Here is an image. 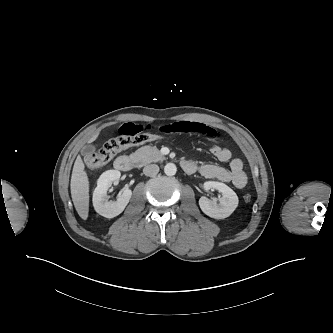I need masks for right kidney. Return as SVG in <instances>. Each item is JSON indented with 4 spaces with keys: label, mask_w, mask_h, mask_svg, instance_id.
Listing matches in <instances>:
<instances>
[{
    "label": "right kidney",
    "mask_w": 333,
    "mask_h": 333,
    "mask_svg": "<svg viewBox=\"0 0 333 333\" xmlns=\"http://www.w3.org/2000/svg\"><path fill=\"white\" fill-rule=\"evenodd\" d=\"M120 176L121 173L117 170H108L102 173L97 181V187L93 192V206L95 211L109 219L122 213L132 196V191L124 188L116 201L109 200L107 190Z\"/></svg>",
    "instance_id": "1"
}]
</instances>
